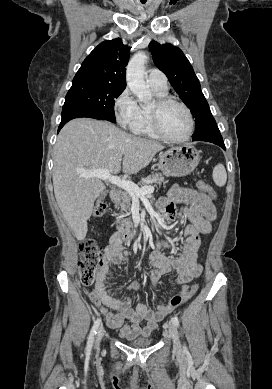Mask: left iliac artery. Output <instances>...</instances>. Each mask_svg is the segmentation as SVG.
I'll return each instance as SVG.
<instances>
[{"instance_id": "44dca946", "label": "left iliac artery", "mask_w": 272, "mask_h": 389, "mask_svg": "<svg viewBox=\"0 0 272 389\" xmlns=\"http://www.w3.org/2000/svg\"><path fill=\"white\" fill-rule=\"evenodd\" d=\"M171 322L174 324V325H176V326H179V320H178V318L177 317H172L171 318ZM184 352L185 353H188V350H187V347L184 345Z\"/></svg>"}]
</instances>
